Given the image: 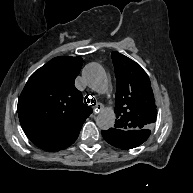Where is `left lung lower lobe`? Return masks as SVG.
Returning <instances> with one entry per match:
<instances>
[{
	"label": "left lung lower lobe",
	"instance_id": "left-lung-lower-lobe-1",
	"mask_svg": "<svg viewBox=\"0 0 193 193\" xmlns=\"http://www.w3.org/2000/svg\"><path fill=\"white\" fill-rule=\"evenodd\" d=\"M102 135L109 144L115 147L132 149L138 147L147 140L150 135V130L131 133L120 129L110 128L107 131H102Z\"/></svg>",
	"mask_w": 193,
	"mask_h": 193
}]
</instances>
